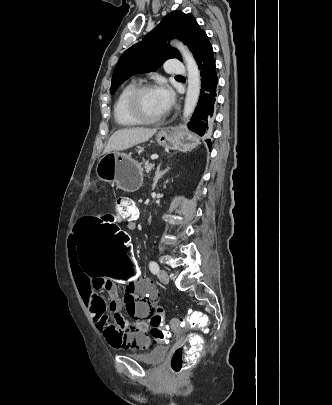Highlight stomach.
<instances>
[{
	"label": "stomach",
	"instance_id": "0dacf381",
	"mask_svg": "<svg viewBox=\"0 0 332 405\" xmlns=\"http://www.w3.org/2000/svg\"><path fill=\"white\" fill-rule=\"evenodd\" d=\"M157 143L161 146L190 151L200 144L197 136L190 132L177 135L172 128L161 129L156 135ZM97 176L117 188L132 192L142 183L143 169L141 163L125 153L113 151L105 154L96 167Z\"/></svg>",
	"mask_w": 332,
	"mask_h": 405
}]
</instances>
